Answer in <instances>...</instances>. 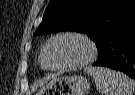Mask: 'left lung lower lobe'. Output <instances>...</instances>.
<instances>
[{
  "mask_svg": "<svg viewBox=\"0 0 135 95\" xmlns=\"http://www.w3.org/2000/svg\"><path fill=\"white\" fill-rule=\"evenodd\" d=\"M94 66L122 71L135 79V18L103 41Z\"/></svg>",
  "mask_w": 135,
  "mask_h": 95,
  "instance_id": "0a47b994",
  "label": "left lung lower lobe"
}]
</instances>
